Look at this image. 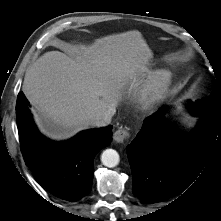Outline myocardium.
Wrapping results in <instances>:
<instances>
[{
    "label": "myocardium",
    "mask_w": 221,
    "mask_h": 221,
    "mask_svg": "<svg viewBox=\"0 0 221 221\" xmlns=\"http://www.w3.org/2000/svg\"><path fill=\"white\" fill-rule=\"evenodd\" d=\"M172 83V73L168 70L158 71L152 80L149 90V100L157 101L162 99L167 93Z\"/></svg>",
    "instance_id": "1"
}]
</instances>
